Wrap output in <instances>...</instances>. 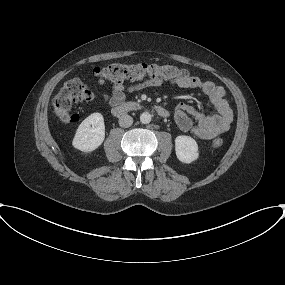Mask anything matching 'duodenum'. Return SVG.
Masks as SVG:
<instances>
[{
  "label": "duodenum",
  "mask_w": 285,
  "mask_h": 285,
  "mask_svg": "<svg viewBox=\"0 0 285 285\" xmlns=\"http://www.w3.org/2000/svg\"><path fill=\"white\" fill-rule=\"evenodd\" d=\"M143 107L138 103L126 102L116 105L112 108V114L116 117H121L129 112L141 110ZM152 110L162 118H165L169 115V112L166 108L160 105H153Z\"/></svg>",
  "instance_id": "obj_1"
}]
</instances>
